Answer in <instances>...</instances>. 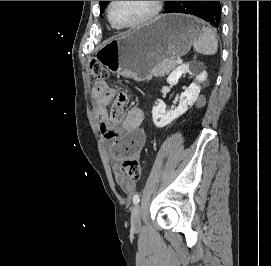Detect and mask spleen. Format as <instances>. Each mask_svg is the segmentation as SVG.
I'll return each mask as SVG.
<instances>
[{
    "label": "spleen",
    "mask_w": 271,
    "mask_h": 266,
    "mask_svg": "<svg viewBox=\"0 0 271 266\" xmlns=\"http://www.w3.org/2000/svg\"><path fill=\"white\" fill-rule=\"evenodd\" d=\"M194 50L203 55H214L218 49L215 33L210 28H203L201 35L193 42Z\"/></svg>",
    "instance_id": "obj_1"
}]
</instances>
